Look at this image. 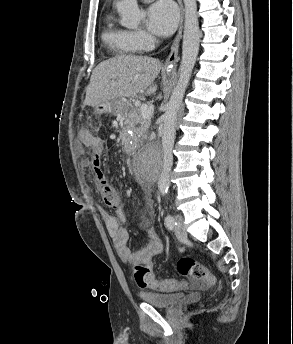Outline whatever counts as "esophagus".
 <instances>
[{"instance_id":"1","label":"esophagus","mask_w":293,"mask_h":344,"mask_svg":"<svg viewBox=\"0 0 293 344\" xmlns=\"http://www.w3.org/2000/svg\"><path fill=\"white\" fill-rule=\"evenodd\" d=\"M177 1L180 8L179 28H178L177 35L174 39L171 52L165 62V68L167 69L169 67H174L179 60L178 50H179V43L182 37V30H183V5H182V0H177Z\"/></svg>"}]
</instances>
